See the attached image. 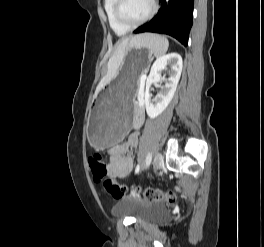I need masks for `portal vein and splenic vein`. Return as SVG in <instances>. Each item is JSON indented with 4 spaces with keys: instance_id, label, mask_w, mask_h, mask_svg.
Returning a JSON list of instances; mask_svg holds the SVG:
<instances>
[{
    "instance_id": "18ae733b",
    "label": "portal vein and splenic vein",
    "mask_w": 264,
    "mask_h": 247,
    "mask_svg": "<svg viewBox=\"0 0 264 247\" xmlns=\"http://www.w3.org/2000/svg\"><path fill=\"white\" fill-rule=\"evenodd\" d=\"M145 79H146V74H141V76H140V81L141 82H144L145 81Z\"/></svg>"
}]
</instances>
